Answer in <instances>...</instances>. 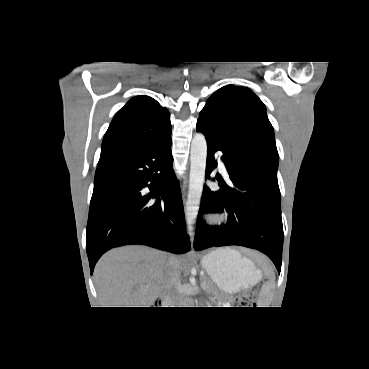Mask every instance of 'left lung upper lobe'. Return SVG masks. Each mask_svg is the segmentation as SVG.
Here are the masks:
<instances>
[{
	"label": "left lung upper lobe",
	"instance_id": "left-lung-upper-lobe-1",
	"mask_svg": "<svg viewBox=\"0 0 369 369\" xmlns=\"http://www.w3.org/2000/svg\"><path fill=\"white\" fill-rule=\"evenodd\" d=\"M226 146L251 159L245 171L276 183L279 156L273 127L262 101L248 88L227 85L215 92L199 114Z\"/></svg>",
	"mask_w": 369,
	"mask_h": 369
}]
</instances>
